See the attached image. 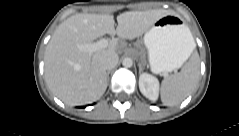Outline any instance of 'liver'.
<instances>
[{
	"label": "liver",
	"mask_w": 239,
	"mask_h": 136,
	"mask_svg": "<svg viewBox=\"0 0 239 136\" xmlns=\"http://www.w3.org/2000/svg\"><path fill=\"white\" fill-rule=\"evenodd\" d=\"M173 11L154 9L128 11L117 16L76 14L64 20L52 35L44 56L45 80L49 89L67 105L92 103L107 88V73L101 58L117 54L118 39H135L146 33L161 17ZM117 35L108 47L89 53L79 45L91 43L105 35Z\"/></svg>",
	"instance_id": "6515ba94"
}]
</instances>
